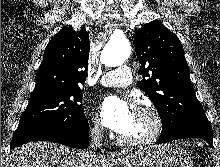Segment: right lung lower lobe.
Wrapping results in <instances>:
<instances>
[{
	"label": "right lung lower lobe",
	"mask_w": 220,
	"mask_h": 167,
	"mask_svg": "<svg viewBox=\"0 0 220 167\" xmlns=\"http://www.w3.org/2000/svg\"><path fill=\"white\" fill-rule=\"evenodd\" d=\"M29 141H52L73 148H87L89 126L85 115L72 123L46 122L18 127L11 140L13 149Z\"/></svg>",
	"instance_id": "obj_1"
}]
</instances>
